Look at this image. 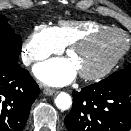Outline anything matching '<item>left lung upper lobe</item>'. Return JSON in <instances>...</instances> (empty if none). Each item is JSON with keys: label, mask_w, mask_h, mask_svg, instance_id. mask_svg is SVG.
I'll return each mask as SVG.
<instances>
[{"label": "left lung upper lobe", "mask_w": 131, "mask_h": 131, "mask_svg": "<svg viewBox=\"0 0 131 131\" xmlns=\"http://www.w3.org/2000/svg\"><path fill=\"white\" fill-rule=\"evenodd\" d=\"M102 82H129L131 83V64L124 69L114 72Z\"/></svg>", "instance_id": "left-lung-upper-lobe-1"}]
</instances>
